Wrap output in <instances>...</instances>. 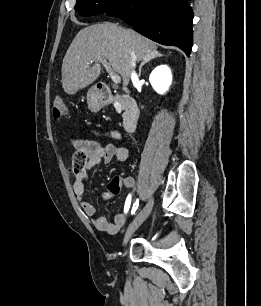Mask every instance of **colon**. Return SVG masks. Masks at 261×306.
<instances>
[{"instance_id": "1", "label": "colon", "mask_w": 261, "mask_h": 306, "mask_svg": "<svg viewBox=\"0 0 261 306\" xmlns=\"http://www.w3.org/2000/svg\"><path fill=\"white\" fill-rule=\"evenodd\" d=\"M66 115V107L63 100L56 96L52 102V118L55 122L61 121ZM87 159V152L85 150H76L72 156V161L76 168H81ZM118 194L112 192V195Z\"/></svg>"}]
</instances>
